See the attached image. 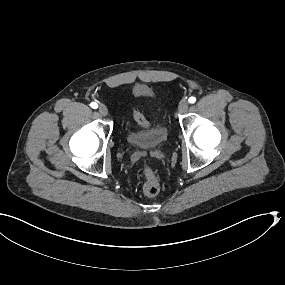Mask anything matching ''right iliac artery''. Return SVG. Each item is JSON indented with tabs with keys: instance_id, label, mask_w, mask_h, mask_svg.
<instances>
[{
	"instance_id": "1",
	"label": "right iliac artery",
	"mask_w": 285,
	"mask_h": 285,
	"mask_svg": "<svg viewBox=\"0 0 285 285\" xmlns=\"http://www.w3.org/2000/svg\"><path fill=\"white\" fill-rule=\"evenodd\" d=\"M90 106H91L93 109L98 108V104H97L96 102H92V103L90 104Z\"/></svg>"
}]
</instances>
